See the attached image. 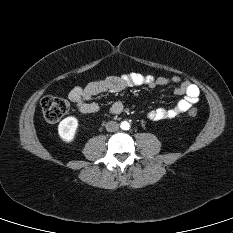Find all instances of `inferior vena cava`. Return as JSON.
<instances>
[{"mask_svg":"<svg viewBox=\"0 0 233 233\" xmlns=\"http://www.w3.org/2000/svg\"><path fill=\"white\" fill-rule=\"evenodd\" d=\"M108 132H115L119 129V124L115 121H109L105 125Z\"/></svg>","mask_w":233,"mask_h":233,"instance_id":"inferior-vena-cava-1","label":"inferior vena cava"}]
</instances>
